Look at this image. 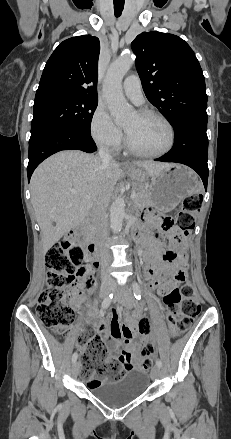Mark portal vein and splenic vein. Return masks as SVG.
Listing matches in <instances>:
<instances>
[{
  "instance_id": "18ae733b",
  "label": "portal vein and splenic vein",
  "mask_w": 231,
  "mask_h": 439,
  "mask_svg": "<svg viewBox=\"0 0 231 439\" xmlns=\"http://www.w3.org/2000/svg\"><path fill=\"white\" fill-rule=\"evenodd\" d=\"M137 197V194H133V195H131V198L132 199H134V198H136Z\"/></svg>"
}]
</instances>
